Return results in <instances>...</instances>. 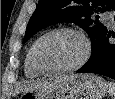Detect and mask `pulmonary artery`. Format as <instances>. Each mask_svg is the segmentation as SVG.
I'll return each mask as SVG.
<instances>
[{
	"label": "pulmonary artery",
	"instance_id": "obj_1",
	"mask_svg": "<svg viewBox=\"0 0 115 99\" xmlns=\"http://www.w3.org/2000/svg\"><path fill=\"white\" fill-rule=\"evenodd\" d=\"M102 18L109 24H112L113 23V17L110 13L108 12H105L103 15H102Z\"/></svg>",
	"mask_w": 115,
	"mask_h": 99
}]
</instances>
